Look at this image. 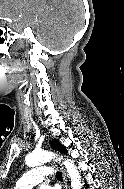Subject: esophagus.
<instances>
[{"label":"esophagus","mask_w":124,"mask_h":189,"mask_svg":"<svg viewBox=\"0 0 124 189\" xmlns=\"http://www.w3.org/2000/svg\"><path fill=\"white\" fill-rule=\"evenodd\" d=\"M53 163L58 167L60 168V170L62 171V174H63V180H64V188L65 189H68V186H67V175H66V172L63 168V166L57 161V160H53Z\"/></svg>","instance_id":"34e87169"}]
</instances>
